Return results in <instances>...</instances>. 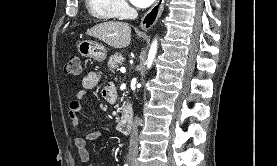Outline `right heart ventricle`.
<instances>
[{
  "label": "right heart ventricle",
  "mask_w": 277,
  "mask_h": 166,
  "mask_svg": "<svg viewBox=\"0 0 277 166\" xmlns=\"http://www.w3.org/2000/svg\"><path fill=\"white\" fill-rule=\"evenodd\" d=\"M89 14L98 21H110L120 16L114 0H85Z\"/></svg>",
  "instance_id": "obj_1"
}]
</instances>
